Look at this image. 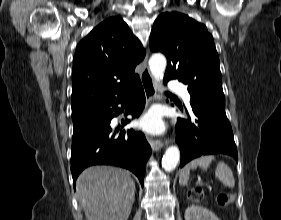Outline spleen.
<instances>
[{"mask_svg": "<svg viewBox=\"0 0 281 220\" xmlns=\"http://www.w3.org/2000/svg\"><path fill=\"white\" fill-rule=\"evenodd\" d=\"M215 160L213 155H205L201 156L197 159H194L187 163L180 171L179 175V183L180 185H186L189 180L190 170L196 169L198 166L203 170L206 171L211 164L212 161ZM215 175L223 185L233 188L235 185V180L233 176V172L231 168L224 163L223 161H219L215 170Z\"/></svg>", "mask_w": 281, "mask_h": 220, "instance_id": "3e777b00", "label": "spleen"}]
</instances>
